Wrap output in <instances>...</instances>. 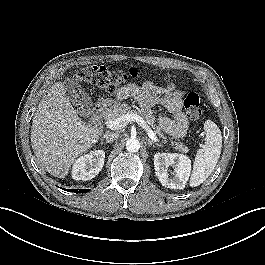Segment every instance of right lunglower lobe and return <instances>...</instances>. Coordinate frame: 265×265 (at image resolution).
<instances>
[{"mask_svg":"<svg viewBox=\"0 0 265 265\" xmlns=\"http://www.w3.org/2000/svg\"><path fill=\"white\" fill-rule=\"evenodd\" d=\"M68 191H70V192H75V193H86V192H88L89 191V189H67Z\"/></svg>","mask_w":265,"mask_h":265,"instance_id":"obj_1","label":"right lung lower lobe"}]
</instances>
